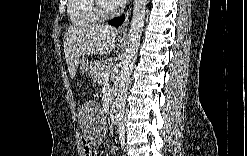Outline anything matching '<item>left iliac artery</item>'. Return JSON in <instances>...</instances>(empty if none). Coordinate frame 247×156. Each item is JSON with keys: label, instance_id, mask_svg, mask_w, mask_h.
Returning a JSON list of instances; mask_svg holds the SVG:
<instances>
[{"label": "left iliac artery", "instance_id": "1", "mask_svg": "<svg viewBox=\"0 0 247 156\" xmlns=\"http://www.w3.org/2000/svg\"><path fill=\"white\" fill-rule=\"evenodd\" d=\"M121 132H123V129L121 130ZM121 144H122V146H124V144H125V141L123 138L121 139Z\"/></svg>", "mask_w": 247, "mask_h": 156}]
</instances>
